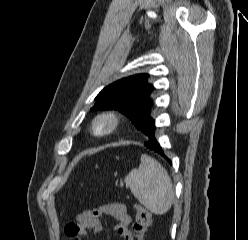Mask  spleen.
Returning a JSON list of instances; mask_svg holds the SVG:
<instances>
[{
    "label": "spleen",
    "instance_id": "obj_1",
    "mask_svg": "<svg viewBox=\"0 0 248 240\" xmlns=\"http://www.w3.org/2000/svg\"><path fill=\"white\" fill-rule=\"evenodd\" d=\"M124 181L152 213L163 215L171 208L174 201L172 181L165 168L152 157L142 155L139 168L132 169Z\"/></svg>",
    "mask_w": 248,
    "mask_h": 240
}]
</instances>
